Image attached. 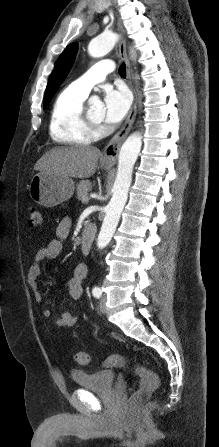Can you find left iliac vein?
I'll return each mask as SVG.
<instances>
[{
  "mask_svg": "<svg viewBox=\"0 0 219 447\" xmlns=\"http://www.w3.org/2000/svg\"><path fill=\"white\" fill-rule=\"evenodd\" d=\"M105 301H106V298L105 297H102L101 298V301H100V308H101V311L104 313L105 312Z\"/></svg>",
  "mask_w": 219,
  "mask_h": 447,
  "instance_id": "1",
  "label": "left iliac vein"
}]
</instances>
